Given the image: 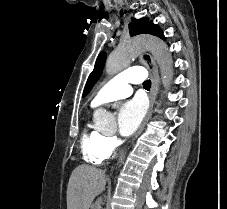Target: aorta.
Returning a JSON list of instances; mask_svg holds the SVG:
<instances>
[{
  "instance_id": "762f6f07",
  "label": "aorta",
  "mask_w": 227,
  "mask_h": 209,
  "mask_svg": "<svg viewBox=\"0 0 227 209\" xmlns=\"http://www.w3.org/2000/svg\"><path fill=\"white\" fill-rule=\"evenodd\" d=\"M149 50L160 66L164 78V86L169 87V80L173 77V60L167 45L160 39L152 36H140L121 43L107 58L106 73L113 75L128 67L132 59L140 52ZM103 110H96L97 117ZM122 160V159H121Z\"/></svg>"
}]
</instances>
